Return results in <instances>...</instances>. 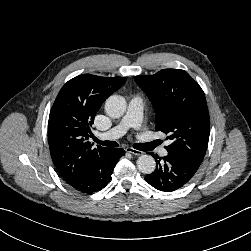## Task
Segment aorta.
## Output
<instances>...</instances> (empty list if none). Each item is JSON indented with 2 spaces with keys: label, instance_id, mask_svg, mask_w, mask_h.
Listing matches in <instances>:
<instances>
[{
  "label": "aorta",
  "instance_id": "aorta-1",
  "mask_svg": "<svg viewBox=\"0 0 251 251\" xmlns=\"http://www.w3.org/2000/svg\"><path fill=\"white\" fill-rule=\"evenodd\" d=\"M105 111L111 118H120L126 111V101L119 95L110 96L105 102ZM137 168L144 174H151L156 168L155 159L151 155H141L137 159Z\"/></svg>",
  "mask_w": 251,
  "mask_h": 251
}]
</instances>
